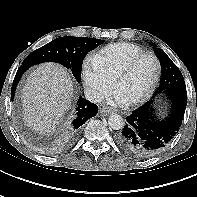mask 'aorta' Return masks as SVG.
<instances>
[{
  "mask_svg": "<svg viewBox=\"0 0 197 197\" xmlns=\"http://www.w3.org/2000/svg\"><path fill=\"white\" fill-rule=\"evenodd\" d=\"M108 125L113 130H120L124 127V119L118 114H113L108 119Z\"/></svg>",
  "mask_w": 197,
  "mask_h": 197,
  "instance_id": "1",
  "label": "aorta"
}]
</instances>
